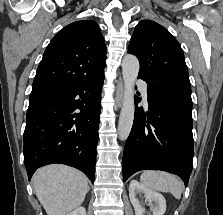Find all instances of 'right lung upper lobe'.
Listing matches in <instances>:
<instances>
[{
	"label": "right lung upper lobe",
	"mask_w": 223,
	"mask_h": 215,
	"mask_svg": "<svg viewBox=\"0 0 223 215\" xmlns=\"http://www.w3.org/2000/svg\"><path fill=\"white\" fill-rule=\"evenodd\" d=\"M106 46L92 20L71 23L49 43L30 95H59L104 71Z\"/></svg>",
	"instance_id": "cb5924a9"
}]
</instances>
